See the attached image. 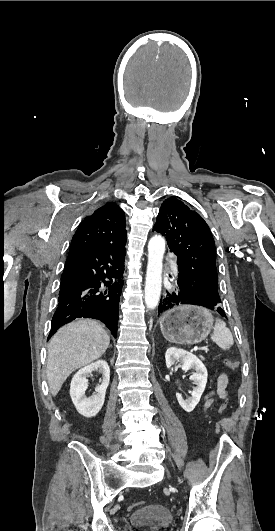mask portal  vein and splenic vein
I'll return each instance as SVG.
<instances>
[{
    "label": "portal vein and splenic vein",
    "mask_w": 275,
    "mask_h": 531,
    "mask_svg": "<svg viewBox=\"0 0 275 531\" xmlns=\"http://www.w3.org/2000/svg\"><path fill=\"white\" fill-rule=\"evenodd\" d=\"M197 350H209V347H197V346H194V351H197Z\"/></svg>",
    "instance_id": "1"
}]
</instances>
